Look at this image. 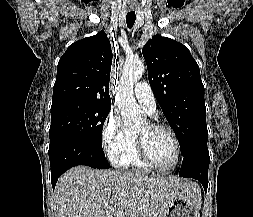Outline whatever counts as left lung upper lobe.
I'll list each match as a JSON object with an SVG mask.
<instances>
[{
	"mask_svg": "<svg viewBox=\"0 0 253 217\" xmlns=\"http://www.w3.org/2000/svg\"><path fill=\"white\" fill-rule=\"evenodd\" d=\"M149 83L174 130L181 154L207 144L206 107L200 70L183 44L155 35L142 49Z\"/></svg>",
	"mask_w": 253,
	"mask_h": 217,
	"instance_id": "5c2ea615",
	"label": "left lung upper lobe"
}]
</instances>
